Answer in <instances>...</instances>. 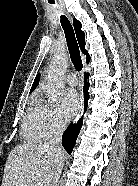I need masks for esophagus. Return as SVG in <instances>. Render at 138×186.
Wrapping results in <instances>:
<instances>
[{
	"instance_id": "34e87169",
	"label": "esophagus",
	"mask_w": 138,
	"mask_h": 186,
	"mask_svg": "<svg viewBox=\"0 0 138 186\" xmlns=\"http://www.w3.org/2000/svg\"><path fill=\"white\" fill-rule=\"evenodd\" d=\"M83 107H84V99H83V94L81 91L79 108H78V111L74 117L73 124H75L80 119L81 115L83 114Z\"/></svg>"
}]
</instances>
